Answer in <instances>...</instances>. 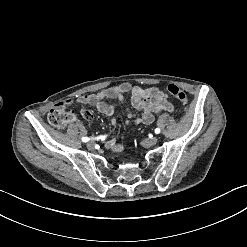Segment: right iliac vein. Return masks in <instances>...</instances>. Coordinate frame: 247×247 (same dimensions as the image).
<instances>
[{"mask_svg":"<svg viewBox=\"0 0 247 247\" xmlns=\"http://www.w3.org/2000/svg\"><path fill=\"white\" fill-rule=\"evenodd\" d=\"M94 146H95L94 142H88V143H87V147H88V149H90V150L94 149Z\"/></svg>","mask_w":247,"mask_h":247,"instance_id":"obj_1","label":"right iliac vein"}]
</instances>
